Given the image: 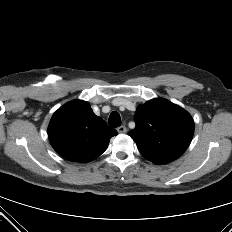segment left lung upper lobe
<instances>
[{"mask_svg":"<svg viewBox=\"0 0 232 232\" xmlns=\"http://www.w3.org/2000/svg\"><path fill=\"white\" fill-rule=\"evenodd\" d=\"M135 122V130L128 135L133 138L140 153L156 164H166L179 158L194 133L190 114L163 98L139 105Z\"/></svg>","mask_w":232,"mask_h":232,"instance_id":"5c2ea615","label":"left lung upper lobe"}]
</instances>
